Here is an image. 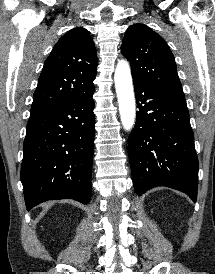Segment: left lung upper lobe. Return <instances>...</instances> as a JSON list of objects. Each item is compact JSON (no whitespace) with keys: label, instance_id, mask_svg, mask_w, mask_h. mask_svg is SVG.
Instances as JSON below:
<instances>
[{"label":"left lung upper lobe","instance_id":"5c2ea615","mask_svg":"<svg viewBox=\"0 0 215 274\" xmlns=\"http://www.w3.org/2000/svg\"><path fill=\"white\" fill-rule=\"evenodd\" d=\"M121 53L128 59L134 81L185 100L174 56L166 41L144 24L131 25Z\"/></svg>","mask_w":215,"mask_h":274}]
</instances>
